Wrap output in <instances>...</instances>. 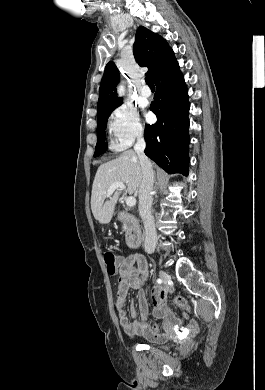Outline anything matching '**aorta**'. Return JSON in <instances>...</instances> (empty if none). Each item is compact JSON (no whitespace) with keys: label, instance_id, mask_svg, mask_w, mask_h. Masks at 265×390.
<instances>
[{"label":"aorta","instance_id":"obj_1","mask_svg":"<svg viewBox=\"0 0 265 390\" xmlns=\"http://www.w3.org/2000/svg\"><path fill=\"white\" fill-rule=\"evenodd\" d=\"M118 93H119V95L124 94V87L120 86V87L118 88Z\"/></svg>","mask_w":265,"mask_h":390}]
</instances>
